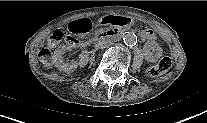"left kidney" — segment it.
<instances>
[{"label":"left kidney","instance_id":"1","mask_svg":"<svg viewBox=\"0 0 207 123\" xmlns=\"http://www.w3.org/2000/svg\"><path fill=\"white\" fill-rule=\"evenodd\" d=\"M146 60H148V61H155V60H157L158 58H159V56H160V54L158 53V54H155L154 56L152 55V53L151 52H149V51H146Z\"/></svg>","mask_w":207,"mask_h":123}]
</instances>
